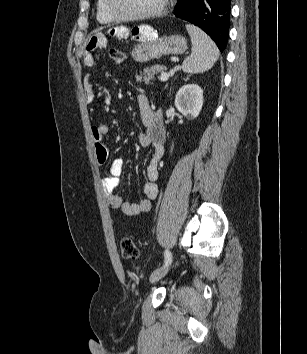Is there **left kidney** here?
<instances>
[{"mask_svg": "<svg viewBox=\"0 0 307 354\" xmlns=\"http://www.w3.org/2000/svg\"><path fill=\"white\" fill-rule=\"evenodd\" d=\"M175 106L187 119L196 118L203 106V90L196 84L182 86L176 94Z\"/></svg>", "mask_w": 307, "mask_h": 354, "instance_id": "1", "label": "left kidney"}]
</instances>
